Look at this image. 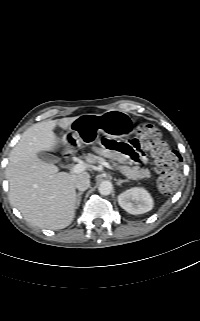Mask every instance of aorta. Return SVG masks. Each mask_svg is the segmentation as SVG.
Segmentation results:
<instances>
[{
    "label": "aorta",
    "mask_w": 200,
    "mask_h": 321,
    "mask_svg": "<svg viewBox=\"0 0 200 321\" xmlns=\"http://www.w3.org/2000/svg\"><path fill=\"white\" fill-rule=\"evenodd\" d=\"M112 184L109 181H103L100 183L98 190L101 195H109L112 192Z\"/></svg>",
    "instance_id": "1"
}]
</instances>
